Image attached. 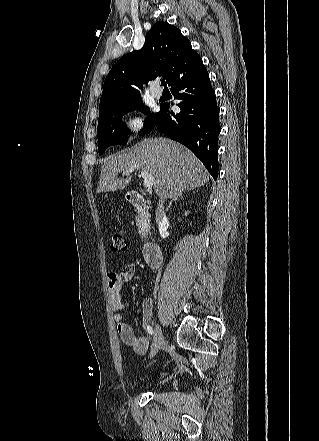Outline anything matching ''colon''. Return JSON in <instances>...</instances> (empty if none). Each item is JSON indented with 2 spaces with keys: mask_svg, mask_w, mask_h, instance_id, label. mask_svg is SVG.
<instances>
[{
  "mask_svg": "<svg viewBox=\"0 0 319 441\" xmlns=\"http://www.w3.org/2000/svg\"><path fill=\"white\" fill-rule=\"evenodd\" d=\"M110 249L113 252H122L126 249V241L122 235L113 232L110 235Z\"/></svg>",
  "mask_w": 319,
  "mask_h": 441,
  "instance_id": "colon-1",
  "label": "colon"
}]
</instances>
